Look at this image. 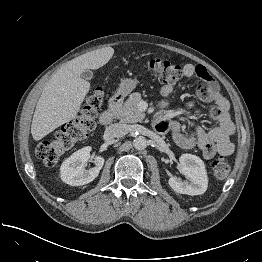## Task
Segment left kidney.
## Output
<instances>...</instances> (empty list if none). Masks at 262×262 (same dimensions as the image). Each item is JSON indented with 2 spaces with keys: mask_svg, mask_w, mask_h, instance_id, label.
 I'll return each mask as SVG.
<instances>
[{
  "mask_svg": "<svg viewBox=\"0 0 262 262\" xmlns=\"http://www.w3.org/2000/svg\"><path fill=\"white\" fill-rule=\"evenodd\" d=\"M179 161L180 172L188 180L182 181L176 176H171L168 180L169 186L180 194L194 196L205 193L208 186V177L204 162L192 154H182Z\"/></svg>",
  "mask_w": 262,
  "mask_h": 262,
  "instance_id": "obj_1",
  "label": "left kidney"
}]
</instances>
